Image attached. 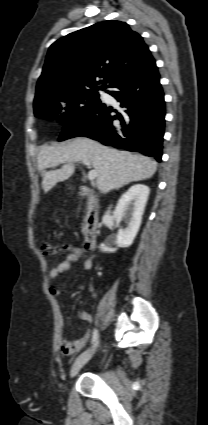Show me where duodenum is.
<instances>
[{
  "instance_id": "1",
  "label": "duodenum",
  "mask_w": 208,
  "mask_h": 425,
  "mask_svg": "<svg viewBox=\"0 0 208 425\" xmlns=\"http://www.w3.org/2000/svg\"><path fill=\"white\" fill-rule=\"evenodd\" d=\"M79 193L85 200L83 248L86 250H92L96 245L99 222L97 199L92 190L86 186H80Z\"/></svg>"
}]
</instances>
